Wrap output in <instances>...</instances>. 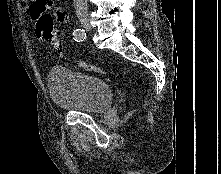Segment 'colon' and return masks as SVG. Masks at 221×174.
Masks as SVG:
<instances>
[{"label": "colon", "instance_id": "obj_1", "mask_svg": "<svg viewBox=\"0 0 221 174\" xmlns=\"http://www.w3.org/2000/svg\"><path fill=\"white\" fill-rule=\"evenodd\" d=\"M36 33L40 39L49 41L53 43L57 49H61L59 42L60 32L55 29L53 18L49 14L40 17L36 23ZM78 65L80 68L89 72L105 73L103 68L93 64L79 62Z\"/></svg>", "mask_w": 221, "mask_h": 174}]
</instances>
